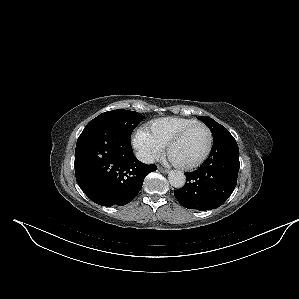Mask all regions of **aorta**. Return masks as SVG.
<instances>
[{
  "instance_id": "obj_1",
  "label": "aorta",
  "mask_w": 299,
  "mask_h": 299,
  "mask_svg": "<svg viewBox=\"0 0 299 299\" xmlns=\"http://www.w3.org/2000/svg\"><path fill=\"white\" fill-rule=\"evenodd\" d=\"M169 183L175 188H182L185 185L186 177L179 170H171L168 174Z\"/></svg>"
}]
</instances>
